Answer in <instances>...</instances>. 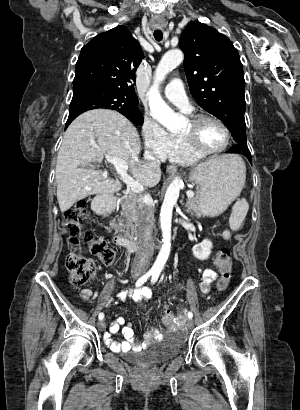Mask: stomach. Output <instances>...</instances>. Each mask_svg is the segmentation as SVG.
<instances>
[{"instance_id":"obj_1","label":"stomach","mask_w":300,"mask_h":410,"mask_svg":"<svg viewBox=\"0 0 300 410\" xmlns=\"http://www.w3.org/2000/svg\"><path fill=\"white\" fill-rule=\"evenodd\" d=\"M231 160H219L213 165H199L189 179L198 185L197 203L207 216H218L241 192L245 179L241 167L244 162L233 155Z\"/></svg>"}]
</instances>
